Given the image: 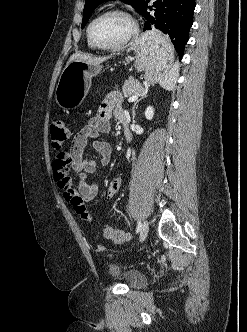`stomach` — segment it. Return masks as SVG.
I'll use <instances>...</instances> for the list:
<instances>
[{"label":"stomach","instance_id":"stomach-1","mask_svg":"<svg viewBox=\"0 0 247 332\" xmlns=\"http://www.w3.org/2000/svg\"><path fill=\"white\" fill-rule=\"evenodd\" d=\"M136 53L135 68L145 72V79L156 83L173 65L174 52L169 41L157 31L142 33L130 43ZM102 70L100 64L73 60L62 71L55 91L56 103L64 111L75 109L86 97L92 77Z\"/></svg>","mask_w":247,"mask_h":332}]
</instances>
